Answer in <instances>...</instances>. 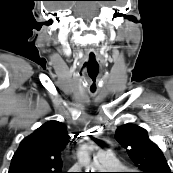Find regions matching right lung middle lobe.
Instances as JSON below:
<instances>
[{"label": "right lung middle lobe", "mask_w": 173, "mask_h": 173, "mask_svg": "<svg viewBox=\"0 0 173 173\" xmlns=\"http://www.w3.org/2000/svg\"><path fill=\"white\" fill-rule=\"evenodd\" d=\"M18 173H33L32 171H26V170H23V171H18ZM52 173V172H50Z\"/></svg>", "instance_id": "dd1d6c3e"}]
</instances>
